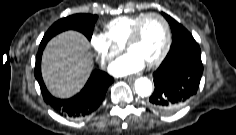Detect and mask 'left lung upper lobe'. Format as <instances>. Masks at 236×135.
<instances>
[{
  "mask_svg": "<svg viewBox=\"0 0 236 135\" xmlns=\"http://www.w3.org/2000/svg\"><path fill=\"white\" fill-rule=\"evenodd\" d=\"M162 15L166 18V20H167L168 22H171L172 20H174L173 18H171L169 15H167V14H165V13H162ZM188 35H189V37L193 38L192 35H191V33H189Z\"/></svg>",
  "mask_w": 236,
  "mask_h": 135,
  "instance_id": "obj_1",
  "label": "left lung upper lobe"
}]
</instances>
